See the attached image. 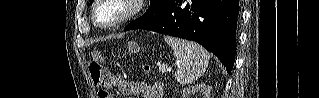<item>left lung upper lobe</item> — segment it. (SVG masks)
I'll list each match as a JSON object with an SVG mask.
<instances>
[{"label":"left lung upper lobe","mask_w":319,"mask_h":98,"mask_svg":"<svg viewBox=\"0 0 319 98\" xmlns=\"http://www.w3.org/2000/svg\"><path fill=\"white\" fill-rule=\"evenodd\" d=\"M92 1L93 0H90L91 3ZM163 3H164V0H151L150 7L145 12V14L128 25L134 28H139L144 25L152 23L157 18H159V16L163 13V8H162Z\"/></svg>","instance_id":"1"}]
</instances>
